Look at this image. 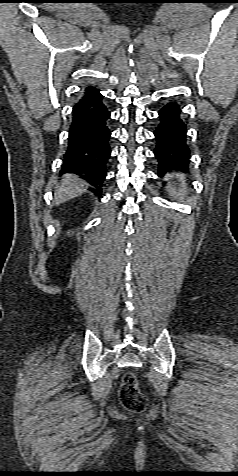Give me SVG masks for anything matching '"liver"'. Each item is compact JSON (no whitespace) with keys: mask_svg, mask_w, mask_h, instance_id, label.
Instances as JSON below:
<instances>
[{"mask_svg":"<svg viewBox=\"0 0 238 476\" xmlns=\"http://www.w3.org/2000/svg\"><path fill=\"white\" fill-rule=\"evenodd\" d=\"M88 184L73 174H65L62 183L55 189L54 205L58 206L83 194Z\"/></svg>","mask_w":238,"mask_h":476,"instance_id":"6515ba94","label":"liver"}]
</instances>
